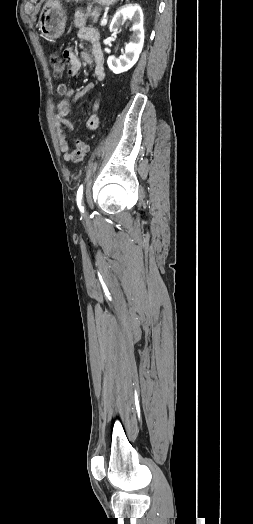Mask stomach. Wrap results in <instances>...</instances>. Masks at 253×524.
I'll return each instance as SVG.
<instances>
[{"label":"stomach","mask_w":253,"mask_h":524,"mask_svg":"<svg viewBox=\"0 0 253 524\" xmlns=\"http://www.w3.org/2000/svg\"><path fill=\"white\" fill-rule=\"evenodd\" d=\"M79 2L81 0H66ZM102 6H109L118 0H94ZM66 13L59 0H49L43 7L39 17V31L47 39L59 38L65 29Z\"/></svg>","instance_id":"0dacf381"}]
</instances>
